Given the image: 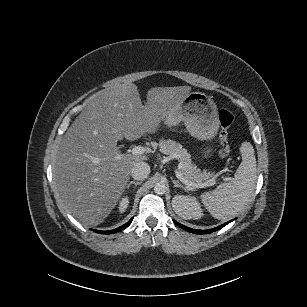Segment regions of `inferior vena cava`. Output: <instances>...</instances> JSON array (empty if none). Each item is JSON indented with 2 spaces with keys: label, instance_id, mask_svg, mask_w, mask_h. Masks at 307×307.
<instances>
[{
  "label": "inferior vena cava",
  "instance_id": "inferior-vena-cava-1",
  "mask_svg": "<svg viewBox=\"0 0 307 307\" xmlns=\"http://www.w3.org/2000/svg\"><path fill=\"white\" fill-rule=\"evenodd\" d=\"M150 173V166L146 162H137L134 164L131 175L135 180L142 181Z\"/></svg>",
  "mask_w": 307,
  "mask_h": 307
}]
</instances>
